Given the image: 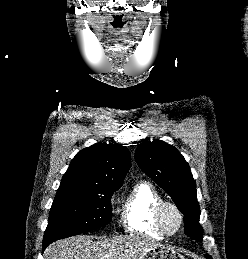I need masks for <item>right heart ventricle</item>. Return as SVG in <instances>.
<instances>
[{
    "instance_id": "right-heart-ventricle-1",
    "label": "right heart ventricle",
    "mask_w": 248,
    "mask_h": 259,
    "mask_svg": "<svg viewBox=\"0 0 248 259\" xmlns=\"http://www.w3.org/2000/svg\"><path fill=\"white\" fill-rule=\"evenodd\" d=\"M161 201V194L151 183H136L123 204L122 223L125 229L131 233L163 238L165 235L154 220L155 209Z\"/></svg>"
}]
</instances>
